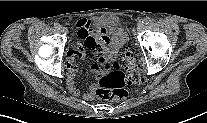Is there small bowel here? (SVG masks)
I'll return each mask as SVG.
<instances>
[{
	"mask_svg": "<svg viewBox=\"0 0 207 123\" xmlns=\"http://www.w3.org/2000/svg\"><path fill=\"white\" fill-rule=\"evenodd\" d=\"M72 27L77 29V41L67 52V87L75 97H79L81 92L75 82V76L78 72L76 61L86 59L87 53L84 46L90 50L92 56L99 57V62L102 64L106 59L100 56L106 55L108 58H112L116 45L125 39L126 35L119 26L113 34H109L104 26L94 28L92 21L88 19H80L73 23ZM98 70V65L92 66L93 72L97 73ZM82 96L86 100L94 99V86L91 85L89 90L84 92Z\"/></svg>",
	"mask_w": 207,
	"mask_h": 123,
	"instance_id": "1",
	"label": "small bowel"
}]
</instances>
